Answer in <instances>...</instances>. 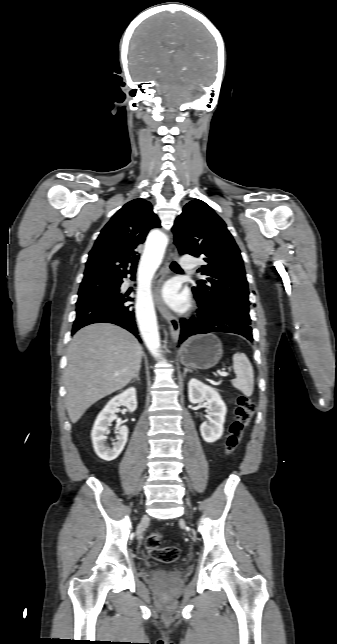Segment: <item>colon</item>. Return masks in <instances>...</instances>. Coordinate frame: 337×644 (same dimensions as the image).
I'll return each instance as SVG.
<instances>
[{
    "instance_id": "colon-1",
    "label": "colon",
    "mask_w": 337,
    "mask_h": 644,
    "mask_svg": "<svg viewBox=\"0 0 337 644\" xmlns=\"http://www.w3.org/2000/svg\"><path fill=\"white\" fill-rule=\"evenodd\" d=\"M255 411V404L252 399L246 395H240L237 398V407L235 410L234 421L231 423L229 433L225 442L227 454H232L238 447L244 429L250 422ZM161 534L159 532L150 533L145 539V548L152 558L163 562H175L180 556V549L177 546L160 547Z\"/></svg>"
}]
</instances>
